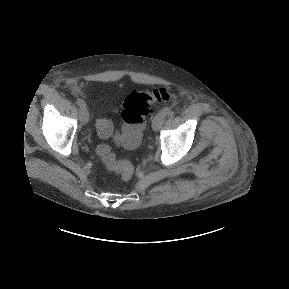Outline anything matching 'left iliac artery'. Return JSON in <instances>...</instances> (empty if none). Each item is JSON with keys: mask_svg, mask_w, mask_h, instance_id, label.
Masks as SVG:
<instances>
[{"mask_svg": "<svg viewBox=\"0 0 289 289\" xmlns=\"http://www.w3.org/2000/svg\"><path fill=\"white\" fill-rule=\"evenodd\" d=\"M161 112H162L165 116H166V115H172V114H173L172 109L169 108V107H165L164 109H162Z\"/></svg>", "mask_w": 289, "mask_h": 289, "instance_id": "obj_1", "label": "left iliac artery"}]
</instances>
